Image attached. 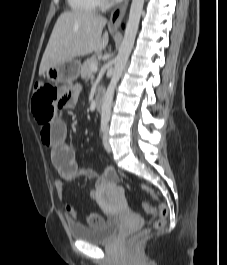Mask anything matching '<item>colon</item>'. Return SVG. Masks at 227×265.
I'll return each mask as SVG.
<instances>
[{
    "label": "colon",
    "mask_w": 227,
    "mask_h": 265,
    "mask_svg": "<svg viewBox=\"0 0 227 265\" xmlns=\"http://www.w3.org/2000/svg\"><path fill=\"white\" fill-rule=\"evenodd\" d=\"M59 99H64V97L62 91L57 86L40 81L36 82L32 99V110L38 123L41 125V128L48 126L53 119ZM142 188L150 193L155 199L159 200L158 195L151 187L142 185ZM143 208L146 212L156 214L157 216L152 223V228H162L168 214L166 205L159 202L155 207L148 202H144Z\"/></svg>",
    "instance_id": "obj_1"
}]
</instances>
